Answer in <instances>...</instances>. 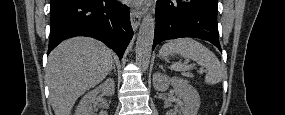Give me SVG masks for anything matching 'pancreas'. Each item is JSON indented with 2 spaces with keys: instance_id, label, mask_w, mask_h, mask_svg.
Segmentation results:
<instances>
[{
  "instance_id": "obj_1",
  "label": "pancreas",
  "mask_w": 285,
  "mask_h": 115,
  "mask_svg": "<svg viewBox=\"0 0 285 115\" xmlns=\"http://www.w3.org/2000/svg\"><path fill=\"white\" fill-rule=\"evenodd\" d=\"M182 75L185 76V77H191V78L193 77V75L191 73H189V72H185Z\"/></svg>"
}]
</instances>
